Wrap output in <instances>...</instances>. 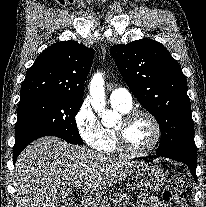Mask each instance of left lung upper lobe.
Masks as SVG:
<instances>
[{"label": "left lung upper lobe", "instance_id": "obj_1", "mask_svg": "<svg viewBox=\"0 0 206 207\" xmlns=\"http://www.w3.org/2000/svg\"><path fill=\"white\" fill-rule=\"evenodd\" d=\"M110 53L130 90L159 122L157 155L197 157L187 80L167 49L152 39L114 45Z\"/></svg>", "mask_w": 206, "mask_h": 207}]
</instances>
